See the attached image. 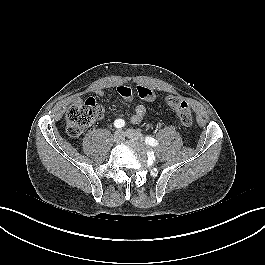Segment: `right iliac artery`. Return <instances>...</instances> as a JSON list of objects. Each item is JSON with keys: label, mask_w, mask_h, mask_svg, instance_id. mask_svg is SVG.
<instances>
[{"label": "right iliac artery", "mask_w": 265, "mask_h": 265, "mask_svg": "<svg viewBox=\"0 0 265 265\" xmlns=\"http://www.w3.org/2000/svg\"><path fill=\"white\" fill-rule=\"evenodd\" d=\"M125 125V121L123 119H117L114 121V126L116 128H122Z\"/></svg>", "instance_id": "1"}]
</instances>
